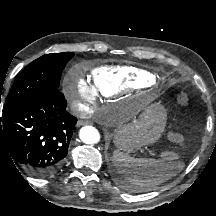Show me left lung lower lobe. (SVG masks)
Wrapping results in <instances>:
<instances>
[{
    "label": "left lung lower lobe",
    "mask_w": 216,
    "mask_h": 216,
    "mask_svg": "<svg viewBox=\"0 0 216 216\" xmlns=\"http://www.w3.org/2000/svg\"><path fill=\"white\" fill-rule=\"evenodd\" d=\"M117 182L126 189H133L135 188L134 185L130 184L125 177L121 174V176L116 177Z\"/></svg>",
    "instance_id": "obj_1"
}]
</instances>
